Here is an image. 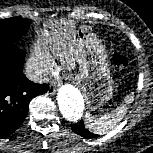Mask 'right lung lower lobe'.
I'll return each mask as SVG.
<instances>
[{"label":"right lung lower lobe","instance_id":"right-lung-lower-lobe-1","mask_svg":"<svg viewBox=\"0 0 153 153\" xmlns=\"http://www.w3.org/2000/svg\"><path fill=\"white\" fill-rule=\"evenodd\" d=\"M25 53L11 44H0V139L12 134L24 122L30 101L48 90L22 72Z\"/></svg>","mask_w":153,"mask_h":153}]
</instances>
